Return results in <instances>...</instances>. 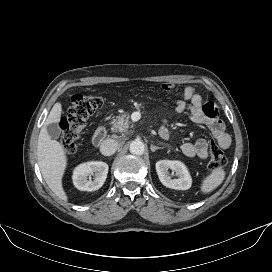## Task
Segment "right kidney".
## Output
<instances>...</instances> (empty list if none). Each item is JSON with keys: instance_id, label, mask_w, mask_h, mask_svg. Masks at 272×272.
I'll use <instances>...</instances> for the list:
<instances>
[{"instance_id": "right-kidney-1", "label": "right kidney", "mask_w": 272, "mask_h": 272, "mask_svg": "<svg viewBox=\"0 0 272 272\" xmlns=\"http://www.w3.org/2000/svg\"><path fill=\"white\" fill-rule=\"evenodd\" d=\"M108 165L105 162L91 161L80 164L73 171V183L78 190L81 191H95L102 187L107 174ZM94 175L93 180L88 176Z\"/></svg>"}]
</instances>
